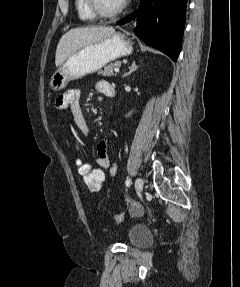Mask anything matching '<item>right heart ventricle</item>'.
I'll return each instance as SVG.
<instances>
[{"mask_svg":"<svg viewBox=\"0 0 240 287\" xmlns=\"http://www.w3.org/2000/svg\"><path fill=\"white\" fill-rule=\"evenodd\" d=\"M75 9L78 17L82 21H92L96 19V15L89 8L88 0H75Z\"/></svg>","mask_w":240,"mask_h":287,"instance_id":"right-heart-ventricle-1","label":"right heart ventricle"}]
</instances>
